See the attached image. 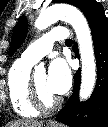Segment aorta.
Returning <instances> with one entry per match:
<instances>
[{
	"mask_svg": "<svg viewBox=\"0 0 108 127\" xmlns=\"http://www.w3.org/2000/svg\"><path fill=\"white\" fill-rule=\"evenodd\" d=\"M58 20L69 23L77 37L82 64L80 100H86L92 93L96 81V64L93 41L89 25L79 9L68 4H57L42 11L34 26L44 30ZM40 69L35 67V71Z\"/></svg>",
	"mask_w": 108,
	"mask_h": 127,
	"instance_id": "obj_1",
	"label": "aorta"
}]
</instances>
